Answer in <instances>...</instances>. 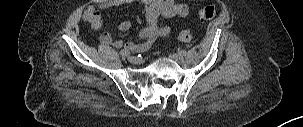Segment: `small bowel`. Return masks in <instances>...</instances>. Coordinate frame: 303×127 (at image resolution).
Instances as JSON below:
<instances>
[{
    "label": "small bowel",
    "mask_w": 303,
    "mask_h": 127,
    "mask_svg": "<svg viewBox=\"0 0 303 127\" xmlns=\"http://www.w3.org/2000/svg\"><path fill=\"white\" fill-rule=\"evenodd\" d=\"M138 2L143 7V14L146 18V26L140 32L142 39L139 43L127 42L122 40H113L112 35L108 32L102 33L100 41L104 45H113L114 48L128 52H145L151 48L153 43L161 38L162 32L169 28L160 26L161 18L184 17L188 14V6L176 0H97L95 4L88 6L84 11V20L87 21L93 29L101 30L103 27V17L101 10L113 7H119L123 4ZM122 32H127L131 28V22L122 21L118 25Z\"/></svg>",
    "instance_id": "c3829d8e"
}]
</instances>
